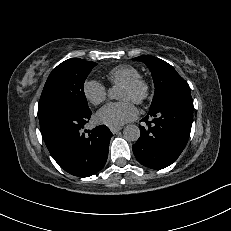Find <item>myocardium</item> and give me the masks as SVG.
Returning a JSON list of instances; mask_svg holds the SVG:
<instances>
[{"label":"myocardium","mask_w":231,"mask_h":231,"mask_svg":"<svg viewBox=\"0 0 231 231\" xmlns=\"http://www.w3.org/2000/svg\"><path fill=\"white\" fill-rule=\"evenodd\" d=\"M122 86L129 88L136 93L134 102L139 105L146 102L151 95V85L146 79L142 77H137L127 81L123 83Z\"/></svg>","instance_id":"myocardium-1"}]
</instances>
